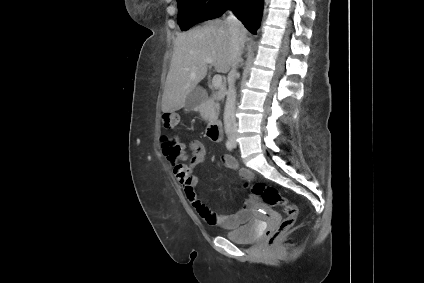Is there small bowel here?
<instances>
[{"mask_svg": "<svg viewBox=\"0 0 424 283\" xmlns=\"http://www.w3.org/2000/svg\"><path fill=\"white\" fill-rule=\"evenodd\" d=\"M189 150L191 154L188 159V164L175 165L173 168V174L182 186L186 199L195 208L201 218L210 225L231 229L244 223L248 219L249 213L254 206V200L249 198L245 202L244 207L236 214L220 215L212 212L209 207L199 199L196 191L198 183L197 167L205 161V146L199 140H192L189 143ZM221 161L226 167L237 171L241 178L245 180H252L254 178L253 172L247 168L240 167L232 156L224 154L221 156Z\"/></svg>", "mask_w": 424, "mask_h": 283, "instance_id": "obj_1", "label": "small bowel"}]
</instances>
